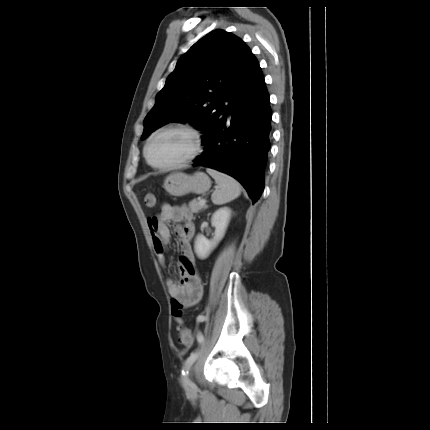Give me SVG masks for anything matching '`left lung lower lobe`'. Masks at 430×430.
<instances>
[{
  "mask_svg": "<svg viewBox=\"0 0 430 430\" xmlns=\"http://www.w3.org/2000/svg\"><path fill=\"white\" fill-rule=\"evenodd\" d=\"M227 109L231 119L226 120L227 115H222L204 134L205 151L193 160V165L231 175L243 185L254 204L264 189L271 146L272 112L261 68L250 79L249 90L233 99Z\"/></svg>",
  "mask_w": 430,
  "mask_h": 430,
  "instance_id": "1",
  "label": "left lung lower lobe"
}]
</instances>
